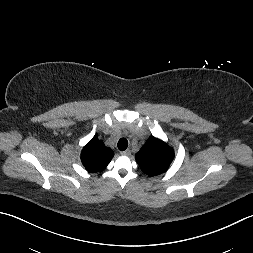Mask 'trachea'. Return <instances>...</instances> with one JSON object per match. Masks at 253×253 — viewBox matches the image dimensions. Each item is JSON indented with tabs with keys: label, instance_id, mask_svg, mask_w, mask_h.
Returning a JSON list of instances; mask_svg holds the SVG:
<instances>
[{
	"label": "trachea",
	"instance_id": "3493384b",
	"mask_svg": "<svg viewBox=\"0 0 253 253\" xmlns=\"http://www.w3.org/2000/svg\"><path fill=\"white\" fill-rule=\"evenodd\" d=\"M117 146H118V149L121 150V151L126 150V148L128 147V141H127V139L121 138V139L118 141Z\"/></svg>",
	"mask_w": 253,
	"mask_h": 253
}]
</instances>
